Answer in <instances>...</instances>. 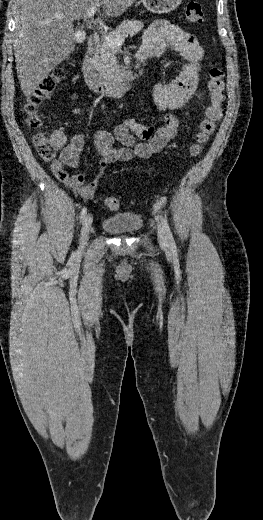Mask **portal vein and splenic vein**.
<instances>
[{"instance_id": "18ae733b", "label": "portal vein and splenic vein", "mask_w": 263, "mask_h": 520, "mask_svg": "<svg viewBox=\"0 0 263 520\" xmlns=\"http://www.w3.org/2000/svg\"><path fill=\"white\" fill-rule=\"evenodd\" d=\"M96 12H97V7H92L87 11L86 16L88 18H93L94 14ZM59 17H63V16H59ZM94 24L96 25V22H94ZM103 39L113 49L119 48L122 45V43L125 41V38H110L109 35H107L106 33L103 35Z\"/></svg>"}]
</instances>
